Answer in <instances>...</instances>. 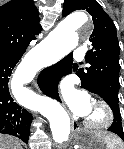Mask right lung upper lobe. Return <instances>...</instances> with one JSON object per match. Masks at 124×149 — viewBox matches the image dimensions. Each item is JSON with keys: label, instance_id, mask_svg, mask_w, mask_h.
<instances>
[{"label": "right lung upper lobe", "instance_id": "obj_1", "mask_svg": "<svg viewBox=\"0 0 124 149\" xmlns=\"http://www.w3.org/2000/svg\"><path fill=\"white\" fill-rule=\"evenodd\" d=\"M33 0H11L0 7V55L25 52L42 28Z\"/></svg>", "mask_w": 124, "mask_h": 149}]
</instances>
